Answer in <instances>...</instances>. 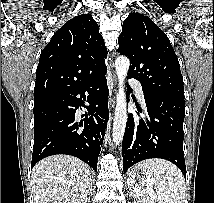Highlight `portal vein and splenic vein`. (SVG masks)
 <instances>
[{"label":"portal vein and splenic vein","instance_id":"obj_1","mask_svg":"<svg viewBox=\"0 0 214 203\" xmlns=\"http://www.w3.org/2000/svg\"><path fill=\"white\" fill-rule=\"evenodd\" d=\"M134 191H135V193H136L137 196H143V194L140 191H138L136 189Z\"/></svg>","mask_w":214,"mask_h":203}]
</instances>
